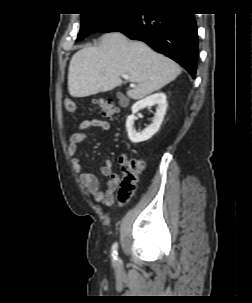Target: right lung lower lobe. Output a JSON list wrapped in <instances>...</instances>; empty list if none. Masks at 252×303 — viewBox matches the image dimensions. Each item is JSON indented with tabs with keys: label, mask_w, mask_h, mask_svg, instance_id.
Segmentation results:
<instances>
[{
	"label": "right lung lower lobe",
	"mask_w": 252,
	"mask_h": 303,
	"mask_svg": "<svg viewBox=\"0 0 252 303\" xmlns=\"http://www.w3.org/2000/svg\"><path fill=\"white\" fill-rule=\"evenodd\" d=\"M119 31L130 39L140 40L170 57L195 78L198 58V35L194 15L180 9H132L99 32Z\"/></svg>",
	"instance_id": "right-lung-lower-lobe-1"
}]
</instances>
